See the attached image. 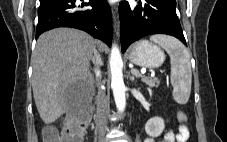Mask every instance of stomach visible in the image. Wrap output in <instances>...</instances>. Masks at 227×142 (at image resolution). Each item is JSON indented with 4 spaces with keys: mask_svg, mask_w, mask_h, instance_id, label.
<instances>
[{
    "mask_svg": "<svg viewBox=\"0 0 227 142\" xmlns=\"http://www.w3.org/2000/svg\"><path fill=\"white\" fill-rule=\"evenodd\" d=\"M128 59L141 67L157 68L163 64L165 54L159 46L147 40H141L129 49Z\"/></svg>",
    "mask_w": 227,
    "mask_h": 142,
    "instance_id": "0dacf381",
    "label": "stomach"
}]
</instances>
